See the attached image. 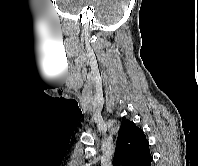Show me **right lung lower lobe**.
Masks as SVG:
<instances>
[{
  "label": "right lung lower lobe",
  "instance_id": "98d812e1",
  "mask_svg": "<svg viewBox=\"0 0 198 166\" xmlns=\"http://www.w3.org/2000/svg\"><path fill=\"white\" fill-rule=\"evenodd\" d=\"M152 161V156L146 161V163L143 166H150Z\"/></svg>",
  "mask_w": 198,
  "mask_h": 166
}]
</instances>
